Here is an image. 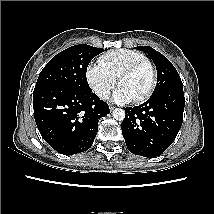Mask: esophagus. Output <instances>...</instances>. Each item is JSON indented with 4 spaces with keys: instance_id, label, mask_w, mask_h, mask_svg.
Returning <instances> with one entry per match:
<instances>
[{
    "instance_id": "obj_1",
    "label": "esophagus",
    "mask_w": 214,
    "mask_h": 214,
    "mask_svg": "<svg viewBox=\"0 0 214 214\" xmlns=\"http://www.w3.org/2000/svg\"><path fill=\"white\" fill-rule=\"evenodd\" d=\"M114 108H115V107L112 106V105L109 106V109H110L111 111H112Z\"/></svg>"
}]
</instances>
